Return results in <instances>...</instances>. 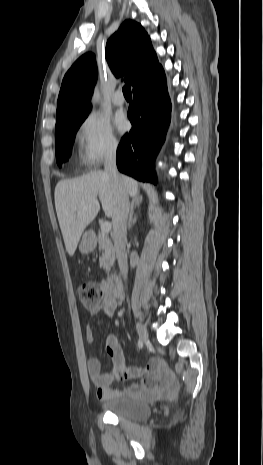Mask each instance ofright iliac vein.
Returning a JSON list of instances; mask_svg holds the SVG:
<instances>
[{"mask_svg": "<svg viewBox=\"0 0 263 465\" xmlns=\"http://www.w3.org/2000/svg\"><path fill=\"white\" fill-rule=\"evenodd\" d=\"M136 330H137L140 340L143 343H146L149 341V334H148L147 328L142 324L141 321L136 322Z\"/></svg>", "mask_w": 263, "mask_h": 465, "instance_id": "63e3f726", "label": "right iliac vein"}]
</instances>
